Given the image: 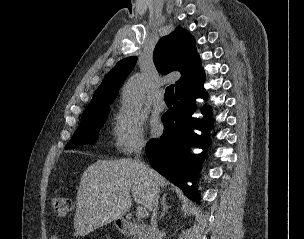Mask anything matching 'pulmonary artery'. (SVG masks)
Masks as SVG:
<instances>
[{
    "instance_id": "pulmonary-artery-1",
    "label": "pulmonary artery",
    "mask_w": 304,
    "mask_h": 239,
    "mask_svg": "<svg viewBox=\"0 0 304 239\" xmlns=\"http://www.w3.org/2000/svg\"><path fill=\"white\" fill-rule=\"evenodd\" d=\"M153 105L157 110H163L166 106L165 101L163 100V91L160 90L156 93V96L153 101Z\"/></svg>"
}]
</instances>
